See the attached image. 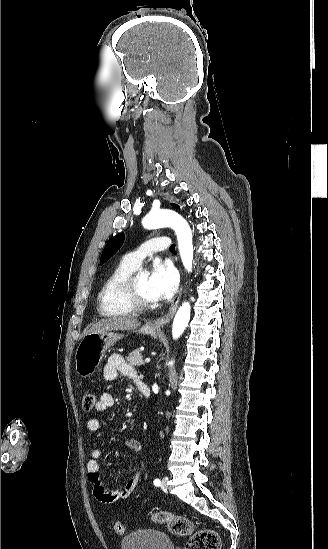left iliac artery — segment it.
Masks as SVG:
<instances>
[{"instance_id":"1","label":"left iliac artery","mask_w":328,"mask_h":549,"mask_svg":"<svg viewBox=\"0 0 328 549\" xmlns=\"http://www.w3.org/2000/svg\"><path fill=\"white\" fill-rule=\"evenodd\" d=\"M160 484H161V481L159 479L154 480V485L155 486H160Z\"/></svg>"}]
</instances>
